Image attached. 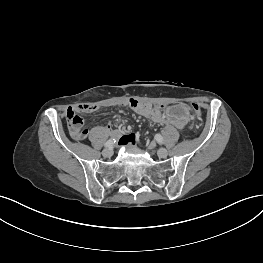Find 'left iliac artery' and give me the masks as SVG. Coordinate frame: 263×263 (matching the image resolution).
Masks as SVG:
<instances>
[{
	"mask_svg": "<svg viewBox=\"0 0 263 263\" xmlns=\"http://www.w3.org/2000/svg\"><path fill=\"white\" fill-rule=\"evenodd\" d=\"M155 139L159 144H163V137L160 134H156Z\"/></svg>",
	"mask_w": 263,
	"mask_h": 263,
	"instance_id": "44dca946",
	"label": "left iliac artery"
}]
</instances>
